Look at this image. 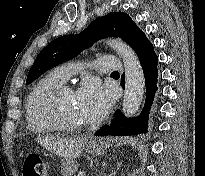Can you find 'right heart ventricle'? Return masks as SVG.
Listing matches in <instances>:
<instances>
[{
  "instance_id": "right-heart-ventricle-1",
  "label": "right heart ventricle",
  "mask_w": 205,
  "mask_h": 176,
  "mask_svg": "<svg viewBox=\"0 0 205 176\" xmlns=\"http://www.w3.org/2000/svg\"><path fill=\"white\" fill-rule=\"evenodd\" d=\"M63 84V80L51 73L40 79L31 89L25 101L26 124L33 134H44L55 131V127L40 114L43 97L54 88Z\"/></svg>"
}]
</instances>
